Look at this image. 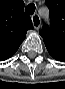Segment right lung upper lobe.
<instances>
[{"mask_svg":"<svg viewBox=\"0 0 65 89\" xmlns=\"http://www.w3.org/2000/svg\"><path fill=\"white\" fill-rule=\"evenodd\" d=\"M23 9L22 0H0V61L10 58L27 31L33 29L31 18Z\"/></svg>","mask_w":65,"mask_h":89,"instance_id":"right-lung-upper-lobe-1","label":"right lung upper lobe"}]
</instances>
